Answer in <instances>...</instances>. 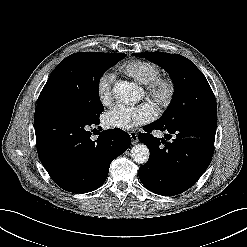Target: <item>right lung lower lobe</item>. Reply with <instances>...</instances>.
Wrapping results in <instances>:
<instances>
[{"instance_id":"obj_1","label":"right lung lower lobe","mask_w":247,"mask_h":247,"mask_svg":"<svg viewBox=\"0 0 247 247\" xmlns=\"http://www.w3.org/2000/svg\"><path fill=\"white\" fill-rule=\"evenodd\" d=\"M99 118L85 119L54 103L37 104L34 126L40 161L62 189L86 193L106 180L111 162L131 144L119 128L102 132L93 141L88 131Z\"/></svg>"}]
</instances>
